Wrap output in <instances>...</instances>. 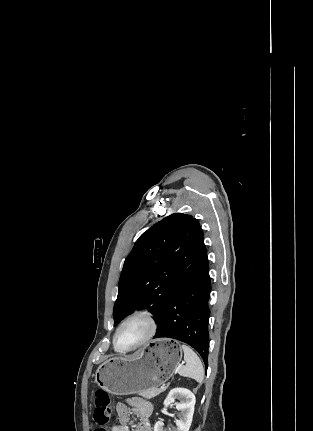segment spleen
Wrapping results in <instances>:
<instances>
[{
    "label": "spleen",
    "mask_w": 313,
    "mask_h": 431,
    "mask_svg": "<svg viewBox=\"0 0 313 431\" xmlns=\"http://www.w3.org/2000/svg\"><path fill=\"white\" fill-rule=\"evenodd\" d=\"M181 349L184 352L186 365L178 368L179 375L192 378L201 384L204 379V368L200 358L190 347L184 344L181 346Z\"/></svg>",
    "instance_id": "obj_1"
}]
</instances>
